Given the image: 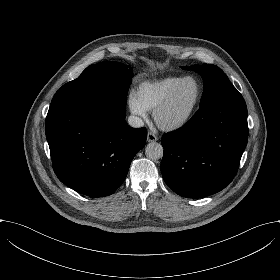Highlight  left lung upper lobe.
Segmentation results:
<instances>
[{
	"instance_id": "5c2ea615",
	"label": "left lung upper lobe",
	"mask_w": 280,
	"mask_h": 280,
	"mask_svg": "<svg viewBox=\"0 0 280 280\" xmlns=\"http://www.w3.org/2000/svg\"><path fill=\"white\" fill-rule=\"evenodd\" d=\"M181 68L185 70H193L203 78L204 91L200 101V108L224 96L238 93L226 74L216 65L202 64Z\"/></svg>"
}]
</instances>
